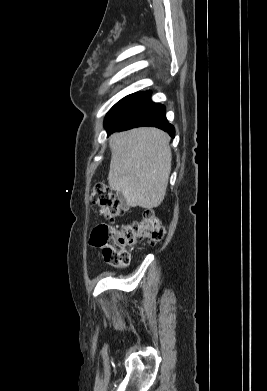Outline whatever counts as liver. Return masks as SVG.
I'll return each mask as SVG.
<instances>
[{
  "instance_id": "6515ba94",
  "label": "liver",
  "mask_w": 267,
  "mask_h": 391,
  "mask_svg": "<svg viewBox=\"0 0 267 391\" xmlns=\"http://www.w3.org/2000/svg\"><path fill=\"white\" fill-rule=\"evenodd\" d=\"M169 142L168 134L157 128H137L110 137L108 183L129 206L152 209L163 201L171 171Z\"/></svg>"
}]
</instances>
